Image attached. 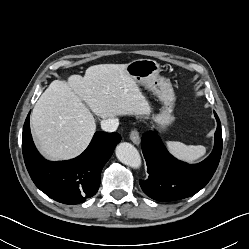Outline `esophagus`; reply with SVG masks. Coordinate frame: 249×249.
<instances>
[{
    "label": "esophagus",
    "mask_w": 249,
    "mask_h": 249,
    "mask_svg": "<svg viewBox=\"0 0 249 249\" xmlns=\"http://www.w3.org/2000/svg\"><path fill=\"white\" fill-rule=\"evenodd\" d=\"M130 140L136 144V145H139L140 144V136H139V133L136 129H133L131 132H130Z\"/></svg>",
    "instance_id": "1"
}]
</instances>
